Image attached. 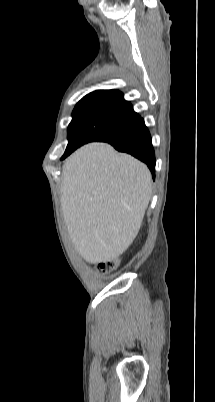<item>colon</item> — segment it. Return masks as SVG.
<instances>
[{
	"instance_id": "obj_1",
	"label": "colon",
	"mask_w": 215,
	"mask_h": 402,
	"mask_svg": "<svg viewBox=\"0 0 215 402\" xmlns=\"http://www.w3.org/2000/svg\"><path fill=\"white\" fill-rule=\"evenodd\" d=\"M117 266L116 260H108V261H103L98 264V268L102 272H108L113 270Z\"/></svg>"
}]
</instances>
